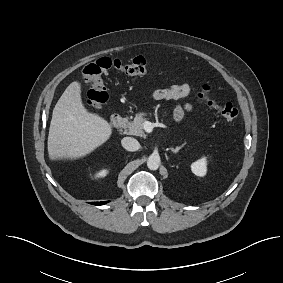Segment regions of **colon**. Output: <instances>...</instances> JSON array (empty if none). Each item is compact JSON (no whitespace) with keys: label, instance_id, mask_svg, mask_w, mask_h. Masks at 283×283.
<instances>
[{"label":"colon","instance_id":"colon-1","mask_svg":"<svg viewBox=\"0 0 283 283\" xmlns=\"http://www.w3.org/2000/svg\"><path fill=\"white\" fill-rule=\"evenodd\" d=\"M148 66L149 62L144 57H136L129 61L102 57L89 63L83 70L84 80L89 87L86 98L87 105L97 110L106 103L108 93L103 80V74L106 71L113 69L129 76H142L147 73ZM198 95L226 121L234 122L237 119V108L232 103L224 102L213 94L208 85L199 84Z\"/></svg>","mask_w":283,"mask_h":283}]
</instances>
